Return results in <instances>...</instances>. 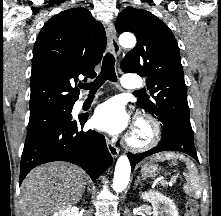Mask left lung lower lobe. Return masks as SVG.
Masks as SVG:
<instances>
[{
    "mask_svg": "<svg viewBox=\"0 0 221 216\" xmlns=\"http://www.w3.org/2000/svg\"><path fill=\"white\" fill-rule=\"evenodd\" d=\"M162 151H179L193 157L197 162L198 157L194 146V136L188 135L175 128H162V139L159 144L144 153H128L132 169L145 157Z\"/></svg>",
    "mask_w": 221,
    "mask_h": 216,
    "instance_id": "0a47b994",
    "label": "left lung lower lobe"
}]
</instances>
